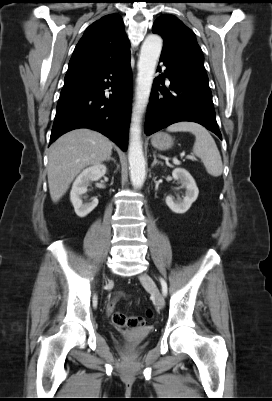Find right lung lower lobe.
Segmentation results:
<instances>
[{
  "mask_svg": "<svg viewBox=\"0 0 272 401\" xmlns=\"http://www.w3.org/2000/svg\"><path fill=\"white\" fill-rule=\"evenodd\" d=\"M107 88H111L112 94L105 95ZM131 100L129 53L96 75L64 85L57 103L50 144L70 130L90 128L126 151Z\"/></svg>",
  "mask_w": 272,
  "mask_h": 401,
  "instance_id": "obj_1",
  "label": "right lung lower lobe"
}]
</instances>
